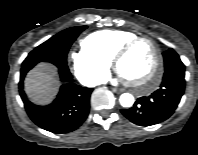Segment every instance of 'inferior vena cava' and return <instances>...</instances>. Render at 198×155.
<instances>
[{
  "label": "inferior vena cava",
  "mask_w": 198,
  "mask_h": 155,
  "mask_svg": "<svg viewBox=\"0 0 198 155\" xmlns=\"http://www.w3.org/2000/svg\"><path fill=\"white\" fill-rule=\"evenodd\" d=\"M105 81L99 80V79H90L87 81L86 85L89 87H94L96 85L103 84Z\"/></svg>",
  "instance_id": "inferior-vena-cava-1"
}]
</instances>
